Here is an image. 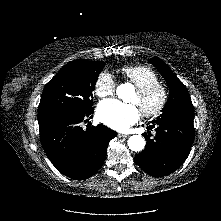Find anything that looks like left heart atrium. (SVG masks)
<instances>
[{"label":"left heart atrium","instance_id":"left-heart-atrium-1","mask_svg":"<svg viewBox=\"0 0 221 221\" xmlns=\"http://www.w3.org/2000/svg\"><path fill=\"white\" fill-rule=\"evenodd\" d=\"M97 116L102 123L110 128L125 131L137 122L140 112L135 104H125L114 99H108L99 103Z\"/></svg>","mask_w":221,"mask_h":221}]
</instances>
